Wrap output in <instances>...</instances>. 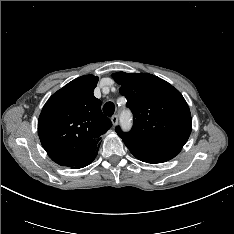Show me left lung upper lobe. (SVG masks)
<instances>
[{
	"label": "left lung upper lobe",
	"mask_w": 234,
	"mask_h": 234,
	"mask_svg": "<svg viewBox=\"0 0 234 234\" xmlns=\"http://www.w3.org/2000/svg\"><path fill=\"white\" fill-rule=\"evenodd\" d=\"M121 85L133 113L131 131L116 132L125 143L163 149H181L192 129L191 113L182 94L163 79L147 74L118 72L112 75Z\"/></svg>",
	"instance_id": "obj_1"
}]
</instances>
